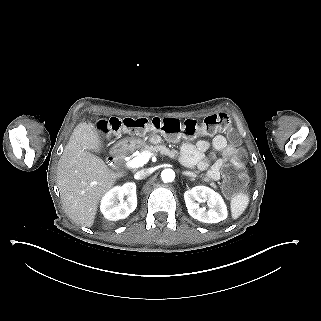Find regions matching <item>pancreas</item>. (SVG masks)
<instances>
[{
	"instance_id": "cf45deb5",
	"label": "pancreas",
	"mask_w": 321,
	"mask_h": 321,
	"mask_svg": "<svg viewBox=\"0 0 321 321\" xmlns=\"http://www.w3.org/2000/svg\"><path fill=\"white\" fill-rule=\"evenodd\" d=\"M140 142V141H138ZM123 150L125 151L123 153V156L125 157L129 152H134L135 150H139L140 152H150V153H157L160 152L161 154L167 155L170 158H173L174 160H178L179 162H181V156H180V152L172 149L170 150L168 147L163 146V145H157V146H153V145H147L146 143L141 144V145H133V144H129L127 146H124ZM195 176H197L199 174V171H195L194 172ZM199 177H201V179L208 183L210 185V187H212L213 189H217V185L215 184V182L211 179V177L207 176L206 174H200Z\"/></svg>"
}]
</instances>
